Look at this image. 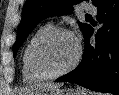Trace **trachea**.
Returning a JSON list of instances; mask_svg holds the SVG:
<instances>
[{
  "instance_id": "3493384b",
  "label": "trachea",
  "mask_w": 119,
  "mask_h": 95,
  "mask_svg": "<svg viewBox=\"0 0 119 95\" xmlns=\"http://www.w3.org/2000/svg\"><path fill=\"white\" fill-rule=\"evenodd\" d=\"M86 16H87V17H90V15H89V14H87Z\"/></svg>"
}]
</instances>
